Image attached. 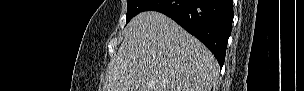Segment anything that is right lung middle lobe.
Wrapping results in <instances>:
<instances>
[{
    "mask_svg": "<svg viewBox=\"0 0 304 91\" xmlns=\"http://www.w3.org/2000/svg\"><path fill=\"white\" fill-rule=\"evenodd\" d=\"M152 0H127V20L128 23L134 16L142 12V10L151 2Z\"/></svg>",
    "mask_w": 304,
    "mask_h": 91,
    "instance_id": "1",
    "label": "right lung middle lobe"
}]
</instances>
